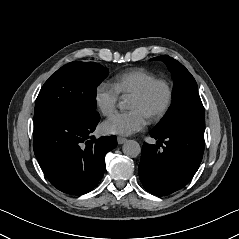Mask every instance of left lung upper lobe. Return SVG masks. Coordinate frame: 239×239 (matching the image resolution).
<instances>
[{
	"label": "left lung upper lobe",
	"instance_id": "5c2ea615",
	"mask_svg": "<svg viewBox=\"0 0 239 239\" xmlns=\"http://www.w3.org/2000/svg\"><path fill=\"white\" fill-rule=\"evenodd\" d=\"M152 60H161L167 65L174 84L171 106L151 132L164 134L186 122L205 123L203 104L198 94L197 83L191 73L177 60L167 55Z\"/></svg>",
	"mask_w": 239,
	"mask_h": 239
}]
</instances>
